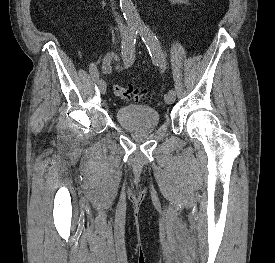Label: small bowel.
I'll return each instance as SVG.
<instances>
[{"label":"small bowel","mask_w":275,"mask_h":263,"mask_svg":"<svg viewBox=\"0 0 275 263\" xmlns=\"http://www.w3.org/2000/svg\"><path fill=\"white\" fill-rule=\"evenodd\" d=\"M113 62H116L115 70L117 72L122 71V66L119 63L117 55L113 52H110V53L106 54L103 59L101 70L104 74H109L112 72V69H113L112 63Z\"/></svg>","instance_id":"small-bowel-1"}]
</instances>
